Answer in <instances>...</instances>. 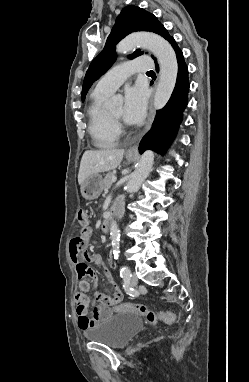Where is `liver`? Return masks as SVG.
Wrapping results in <instances>:
<instances>
[{"instance_id": "1", "label": "liver", "mask_w": 249, "mask_h": 382, "mask_svg": "<svg viewBox=\"0 0 249 382\" xmlns=\"http://www.w3.org/2000/svg\"><path fill=\"white\" fill-rule=\"evenodd\" d=\"M124 155L123 149L87 150L84 152L79 173L78 183L82 186L84 181L92 174L106 172L117 168Z\"/></svg>"}]
</instances>
